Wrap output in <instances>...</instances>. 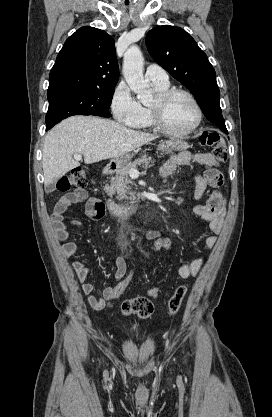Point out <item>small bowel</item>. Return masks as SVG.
<instances>
[{
    "label": "small bowel",
    "instance_id": "c3829d8e",
    "mask_svg": "<svg viewBox=\"0 0 272 417\" xmlns=\"http://www.w3.org/2000/svg\"><path fill=\"white\" fill-rule=\"evenodd\" d=\"M191 163H199L208 166L203 176L195 175V199L201 201L208 188L217 189L223 183L222 174L214 168L216 160L211 153H192L189 151H182L174 154L169 158L160 168V175L162 178H168L173 175L181 166H186ZM83 203L86 214L92 220H100L105 215V208L103 202L88 193L84 188H76L64 194L57 201L53 212L52 221L55 227V234L58 240L66 241L69 239V227H80L79 221H65V213L67 209L75 204ZM194 213L208 222L212 235L207 236L203 243L206 248H213L217 242V235L221 232L223 221L225 217V200L224 197L218 193L213 192L204 204H199L194 208ZM158 231H149L143 236L144 240H152L160 236ZM79 251V245L74 242H66L61 246V253L65 258L74 256ZM116 271L114 275V282L112 285L104 288L102 296L94 295L97 285L86 282L91 274V270L80 261L71 263V268L75 273L77 281L81 284V291L87 297L89 305L94 310H102L106 302L113 298V291L115 286L124 278L127 272V266L121 256L115 259ZM203 266V259L198 258L190 262L181 263L178 267V274L181 278L187 279L196 276Z\"/></svg>",
    "mask_w": 272,
    "mask_h": 417
}]
</instances>
